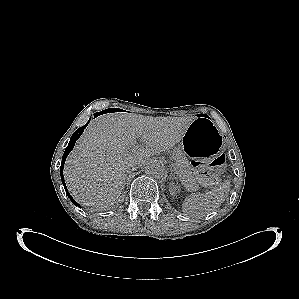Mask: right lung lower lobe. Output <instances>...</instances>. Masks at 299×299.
Returning a JSON list of instances; mask_svg holds the SVG:
<instances>
[{"label":"right lung lower lobe","mask_w":299,"mask_h":299,"mask_svg":"<svg viewBox=\"0 0 299 299\" xmlns=\"http://www.w3.org/2000/svg\"><path fill=\"white\" fill-rule=\"evenodd\" d=\"M91 119H89V121L82 127H80L79 129H77L74 134L72 135L71 139H70V142L64 152V155H63V158H62V164H61V167H60V175H61V180H62V183L63 185L65 186V191L66 193L68 194V197L71 199L72 203L76 206H79V204L71 197V195L68 193V190H67V187H66V184L64 182V177H63V168H64V163H65V160L68 156V154L71 152V150L73 149L74 145H75V142L76 140L80 137V135L83 133L84 129L87 127V125L89 124Z\"/></svg>","instance_id":"right-lung-lower-lobe-1"}]
</instances>
